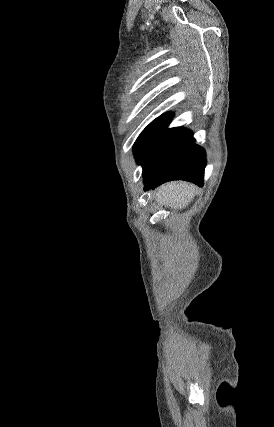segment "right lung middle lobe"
I'll list each match as a JSON object with an SVG mask.
<instances>
[{
  "mask_svg": "<svg viewBox=\"0 0 274 427\" xmlns=\"http://www.w3.org/2000/svg\"><path fill=\"white\" fill-rule=\"evenodd\" d=\"M170 116V112L158 117L150 123L140 134L134 144V154L138 163L145 157L151 145L159 137L164 129L165 123Z\"/></svg>",
  "mask_w": 274,
  "mask_h": 427,
  "instance_id": "right-lung-middle-lobe-1",
  "label": "right lung middle lobe"
}]
</instances>
